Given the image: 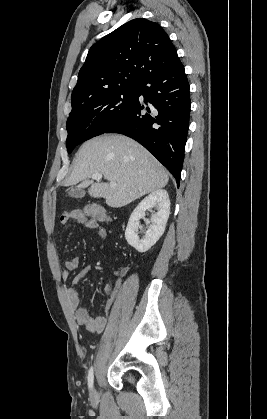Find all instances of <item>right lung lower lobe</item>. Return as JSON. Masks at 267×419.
<instances>
[{"instance_id":"1","label":"right lung lower lobe","mask_w":267,"mask_h":419,"mask_svg":"<svg viewBox=\"0 0 267 419\" xmlns=\"http://www.w3.org/2000/svg\"><path fill=\"white\" fill-rule=\"evenodd\" d=\"M189 83L180 62L150 74L139 86L128 112L104 133L133 138L151 152L175 177L184 160L190 119ZM144 96V105L139 96Z\"/></svg>"}]
</instances>
